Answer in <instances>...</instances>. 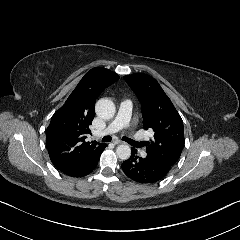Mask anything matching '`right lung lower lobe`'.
<instances>
[{
  "label": "right lung lower lobe",
  "instance_id": "right-lung-lower-lobe-1",
  "mask_svg": "<svg viewBox=\"0 0 240 240\" xmlns=\"http://www.w3.org/2000/svg\"><path fill=\"white\" fill-rule=\"evenodd\" d=\"M107 145H105L106 147ZM102 148L100 151L94 153L93 155H90L86 161L84 163H82L79 166L73 167V168H69V169H59L62 173H64L65 175L71 176V177H84L88 174H90L96 167L100 155L103 152V150L105 149Z\"/></svg>",
  "mask_w": 240,
  "mask_h": 240
}]
</instances>
